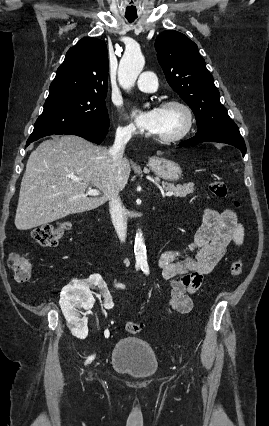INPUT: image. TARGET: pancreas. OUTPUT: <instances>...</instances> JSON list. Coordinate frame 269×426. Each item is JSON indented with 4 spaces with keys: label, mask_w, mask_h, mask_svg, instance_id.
Segmentation results:
<instances>
[{
    "label": "pancreas",
    "mask_w": 269,
    "mask_h": 426,
    "mask_svg": "<svg viewBox=\"0 0 269 426\" xmlns=\"http://www.w3.org/2000/svg\"><path fill=\"white\" fill-rule=\"evenodd\" d=\"M156 181H159L158 178H155ZM162 187L166 190V191H170L173 192V195L175 197H185L188 194L193 193L194 191V184L193 183H188V184H171V183H167V182H162Z\"/></svg>",
    "instance_id": "cf45deb5"
}]
</instances>
